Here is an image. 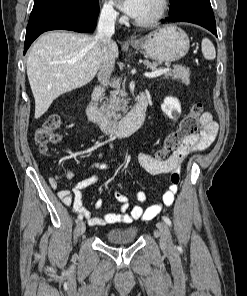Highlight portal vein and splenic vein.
Here are the masks:
<instances>
[{"mask_svg": "<svg viewBox=\"0 0 247 296\" xmlns=\"http://www.w3.org/2000/svg\"><path fill=\"white\" fill-rule=\"evenodd\" d=\"M168 71H170V68L158 69V70H154L152 72H145L144 76L147 78H156V77H159V76L165 74Z\"/></svg>", "mask_w": 247, "mask_h": 296, "instance_id": "18ae733b", "label": "portal vein and splenic vein"}]
</instances>
